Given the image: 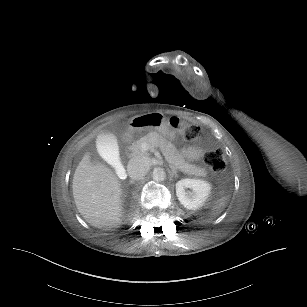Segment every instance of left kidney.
I'll return each instance as SVG.
<instances>
[{"label":"left kidney","mask_w":307,"mask_h":307,"mask_svg":"<svg viewBox=\"0 0 307 307\" xmlns=\"http://www.w3.org/2000/svg\"><path fill=\"white\" fill-rule=\"evenodd\" d=\"M211 188V184L202 179L185 178L176 183V196L185 208L197 210L204 206Z\"/></svg>","instance_id":"1"}]
</instances>
